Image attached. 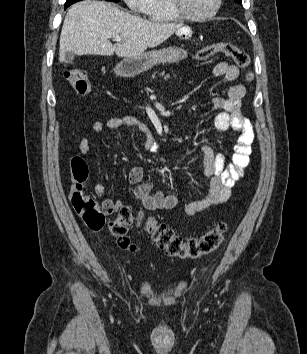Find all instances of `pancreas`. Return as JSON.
I'll use <instances>...</instances> for the list:
<instances>
[{
    "label": "pancreas",
    "instance_id": "cf45deb5",
    "mask_svg": "<svg viewBox=\"0 0 307 354\" xmlns=\"http://www.w3.org/2000/svg\"><path fill=\"white\" fill-rule=\"evenodd\" d=\"M155 74H156V73H154V74L152 75V78H153V79L156 77ZM159 76L164 77V80H167V79L170 78V75H169V74L165 75V72H164V71L161 72V73L159 74Z\"/></svg>",
    "mask_w": 307,
    "mask_h": 354
}]
</instances>
